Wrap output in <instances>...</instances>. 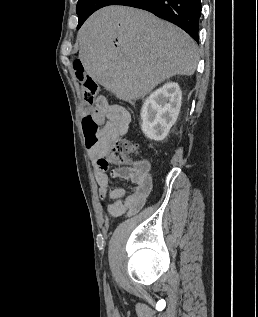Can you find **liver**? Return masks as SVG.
Wrapping results in <instances>:
<instances>
[{
	"label": "liver",
	"mask_w": 258,
	"mask_h": 317,
	"mask_svg": "<svg viewBox=\"0 0 258 317\" xmlns=\"http://www.w3.org/2000/svg\"><path fill=\"white\" fill-rule=\"evenodd\" d=\"M89 76L122 100H137L174 74H194L198 46L181 28L131 6H104L78 32Z\"/></svg>",
	"instance_id": "obj_1"
}]
</instances>
